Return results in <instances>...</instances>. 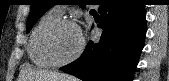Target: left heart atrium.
Segmentation results:
<instances>
[{
	"mask_svg": "<svg viewBox=\"0 0 169 81\" xmlns=\"http://www.w3.org/2000/svg\"><path fill=\"white\" fill-rule=\"evenodd\" d=\"M78 32H79V34H80V36H81V31L78 29Z\"/></svg>",
	"mask_w": 169,
	"mask_h": 81,
	"instance_id": "1",
	"label": "left heart atrium"
}]
</instances>
